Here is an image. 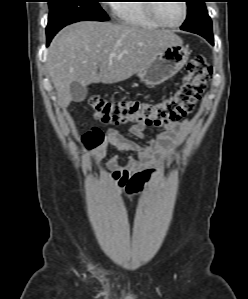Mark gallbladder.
<instances>
[{"mask_svg":"<svg viewBox=\"0 0 248 299\" xmlns=\"http://www.w3.org/2000/svg\"><path fill=\"white\" fill-rule=\"evenodd\" d=\"M70 93L72 96V100L76 103H79L86 98L88 89L86 86H82L78 82H73L70 85Z\"/></svg>","mask_w":248,"mask_h":299,"instance_id":"1","label":"gallbladder"}]
</instances>
